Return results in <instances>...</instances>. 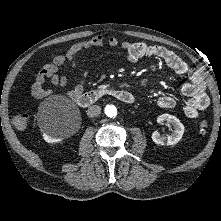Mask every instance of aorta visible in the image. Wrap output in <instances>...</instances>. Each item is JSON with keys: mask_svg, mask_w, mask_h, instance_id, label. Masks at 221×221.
<instances>
[{"mask_svg": "<svg viewBox=\"0 0 221 221\" xmlns=\"http://www.w3.org/2000/svg\"><path fill=\"white\" fill-rule=\"evenodd\" d=\"M105 113L108 117H115L117 115V109L113 105H108L105 108Z\"/></svg>", "mask_w": 221, "mask_h": 221, "instance_id": "762f6f07", "label": "aorta"}]
</instances>
